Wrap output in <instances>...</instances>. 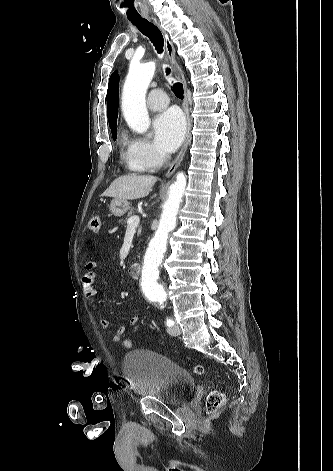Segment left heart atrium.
<instances>
[{
  "mask_svg": "<svg viewBox=\"0 0 333 471\" xmlns=\"http://www.w3.org/2000/svg\"><path fill=\"white\" fill-rule=\"evenodd\" d=\"M186 131L183 115L177 109H169L156 117L153 132L158 147L173 152L182 142Z\"/></svg>",
  "mask_w": 333,
  "mask_h": 471,
  "instance_id": "obj_1",
  "label": "left heart atrium"
}]
</instances>
